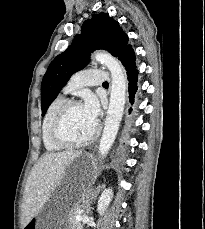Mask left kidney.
<instances>
[{"mask_svg":"<svg viewBox=\"0 0 205 229\" xmlns=\"http://www.w3.org/2000/svg\"><path fill=\"white\" fill-rule=\"evenodd\" d=\"M113 193L112 189L108 188L105 189L98 200L97 210L100 214L104 213L106 208L109 206Z\"/></svg>","mask_w":205,"mask_h":229,"instance_id":"left-kidney-1","label":"left kidney"}]
</instances>
